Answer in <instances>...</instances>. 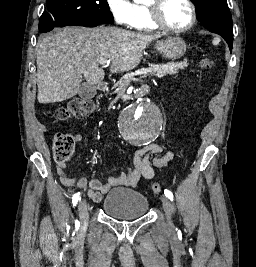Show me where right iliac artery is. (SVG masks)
Wrapping results in <instances>:
<instances>
[{"mask_svg":"<svg viewBox=\"0 0 256 267\" xmlns=\"http://www.w3.org/2000/svg\"><path fill=\"white\" fill-rule=\"evenodd\" d=\"M78 200H80V192L73 195V197H72L73 206H76Z\"/></svg>","mask_w":256,"mask_h":267,"instance_id":"obj_1","label":"right iliac artery"}]
</instances>
